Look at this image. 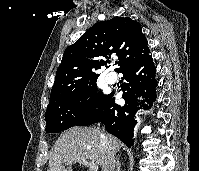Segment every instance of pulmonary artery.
<instances>
[{"mask_svg": "<svg viewBox=\"0 0 199 171\" xmlns=\"http://www.w3.org/2000/svg\"><path fill=\"white\" fill-rule=\"evenodd\" d=\"M105 79L109 84H114L117 80L116 77L112 74H108Z\"/></svg>", "mask_w": 199, "mask_h": 171, "instance_id": "1", "label": "pulmonary artery"}]
</instances>
